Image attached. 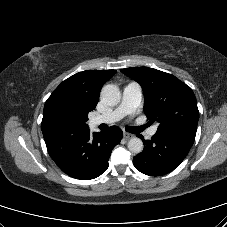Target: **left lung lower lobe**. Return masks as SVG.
I'll use <instances>...</instances> for the list:
<instances>
[{
    "mask_svg": "<svg viewBox=\"0 0 227 227\" xmlns=\"http://www.w3.org/2000/svg\"><path fill=\"white\" fill-rule=\"evenodd\" d=\"M142 140V135L138 136ZM195 137L179 132L159 131L144 140V150L133 158L134 166L143 174L160 176L174 170L183 161Z\"/></svg>",
    "mask_w": 227,
    "mask_h": 227,
    "instance_id": "0a47b994",
    "label": "left lung lower lobe"
}]
</instances>
